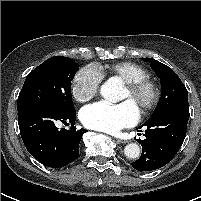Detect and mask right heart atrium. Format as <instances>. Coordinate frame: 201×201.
I'll return each instance as SVG.
<instances>
[{
	"mask_svg": "<svg viewBox=\"0 0 201 201\" xmlns=\"http://www.w3.org/2000/svg\"><path fill=\"white\" fill-rule=\"evenodd\" d=\"M102 76L94 66L80 69L72 80V95L78 102H87L99 91Z\"/></svg>",
	"mask_w": 201,
	"mask_h": 201,
	"instance_id": "d8ad5b80",
	"label": "right heart atrium"
}]
</instances>
